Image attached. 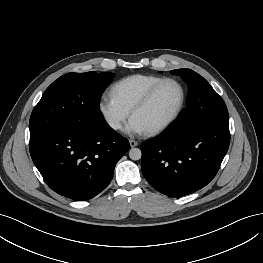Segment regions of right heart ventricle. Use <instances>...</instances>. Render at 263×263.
<instances>
[{"label": "right heart ventricle", "instance_id": "e07e8e85", "mask_svg": "<svg viewBox=\"0 0 263 263\" xmlns=\"http://www.w3.org/2000/svg\"><path fill=\"white\" fill-rule=\"evenodd\" d=\"M162 76L151 74H135L125 77L111 87V96L127 111L143 97V95L158 81Z\"/></svg>", "mask_w": 263, "mask_h": 263}]
</instances>
